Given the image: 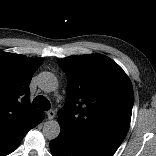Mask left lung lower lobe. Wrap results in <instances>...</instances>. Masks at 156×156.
Here are the masks:
<instances>
[{
  "label": "left lung lower lobe",
  "mask_w": 156,
  "mask_h": 156,
  "mask_svg": "<svg viewBox=\"0 0 156 156\" xmlns=\"http://www.w3.org/2000/svg\"><path fill=\"white\" fill-rule=\"evenodd\" d=\"M59 136L50 142L53 156H112L118 147L82 134L60 123Z\"/></svg>",
  "instance_id": "0a47b994"
}]
</instances>
